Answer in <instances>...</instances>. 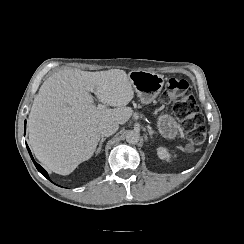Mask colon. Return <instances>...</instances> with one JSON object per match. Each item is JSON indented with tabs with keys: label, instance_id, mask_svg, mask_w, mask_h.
Returning <instances> with one entry per match:
<instances>
[{
	"label": "colon",
	"instance_id": "5ec220e1",
	"mask_svg": "<svg viewBox=\"0 0 244 244\" xmlns=\"http://www.w3.org/2000/svg\"><path fill=\"white\" fill-rule=\"evenodd\" d=\"M160 99L164 103H172L176 115L184 119V127L192 143L201 144L205 141L204 118L191 94V86L186 80L177 77L169 78Z\"/></svg>",
	"mask_w": 244,
	"mask_h": 244
}]
</instances>
